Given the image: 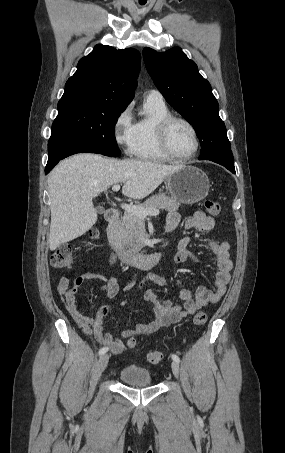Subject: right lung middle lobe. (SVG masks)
Masks as SVG:
<instances>
[{"label":"right lung middle lobe","instance_id":"1","mask_svg":"<svg viewBox=\"0 0 285 453\" xmlns=\"http://www.w3.org/2000/svg\"><path fill=\"white\" fill-rule=\"evenodd\" d=\"M125 108L103 101L59 102L52 130L64 131L96 153L117 157L121 152L115 139V124Z\"/></svg>","mask_w":285,"mask_h":453}]
</instances>
